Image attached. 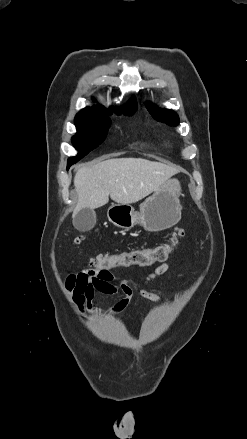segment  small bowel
<instances>
[{
    "label": "small bowel",
    "instance_id": "obj_1",
    "mask_svg": "<svg viewBox=\"0 0 247 439\" xmlns=\"http://www.w3.org/2000/svg\"><path fill=\"white\" fill-rule=\"evenodd\" d=\"M168 268L169 265L166 262L160 264L146 277V283H150L165 274ZM116 279L115 275L109 270L96 271L86 269L69 275L66 279L65 287L73 303L81 312L88 309L93 312L103 313V310L93 306L91 302L95 291L106 295H114L118 291H122L124 297L110 309V313L114 314L124 310L128 306L135 292H138L142 297L154 302H161L166 299L161 292L155 289L139 288L132 280H121L118 284H115Z\"/></svg>",
    "mask_w": 247,
    "mask_h": 439
}]
</instances>
